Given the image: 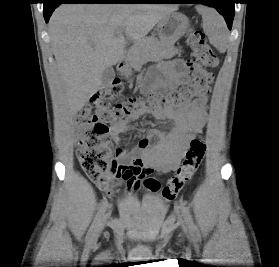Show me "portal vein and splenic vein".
Returning a JSON list of instances; mask_svg holds the SVG:
<instances>
[{
  "instance_id": "obj_1",
  "label": "portal vein and splenic vein",
  "mask_w": 279,
  "mask_h": 267,
  "mask_svg": "<svg viewBox=\"0 0 279 267\" xmlns=\"http://www.w3.org/2000/svg\"><path fill=\"white\" fill-rule=\"evenodd\" d=\"M123 31H124V27H120V28H118L117 29V34H122L123 33Z\"/></svg>"
}]
</instances>
